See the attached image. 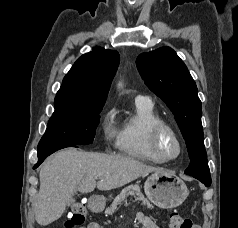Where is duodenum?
Listing matches in <instances>:
<instances>
[{
  "mask_svg": "<svg viewBox=\"0 0 238 228\" xmlns=\"http://www.w3.org/2000/svg\"><path fill=\"white\" fill-rule=\"evenodd\" d=\"M104 204H105V198L101 196H95L90 201V207L96 211L101 210Z\"/></svg>",
  "mask_w": 238,
  "mask_h": 228,
  "instance_id": "410a0bca",
  "label": "duodenum"
}]
</instances>
